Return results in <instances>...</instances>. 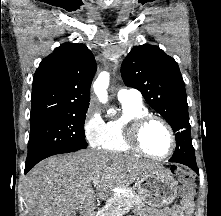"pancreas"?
<instances>
[{
    "mask_svg": "<svg viewBox=\"0 0 221 216\" xmlns=\"http://www.w3.org/2000/svg\"><path fill=\"white\" fill-rule=\"evenodd\" d=\"M141 201L134 189H126V194H118L110 197L99 216H122Z\"/></svg>",
    "mask_w": 221,
    "mask_h": 216,
    "instance_id": "obj_1",
    "label": "pancreas"
}]
</instances>
